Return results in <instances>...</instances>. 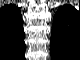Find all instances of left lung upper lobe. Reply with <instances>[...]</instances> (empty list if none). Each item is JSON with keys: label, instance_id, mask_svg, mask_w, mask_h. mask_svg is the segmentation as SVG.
<instances>
[{"label": "left lung upper lobe", "instance_id": "5c2ea615", "mask_svg": "<svg viewBox=\"0 0 80 60\" xmlns=\"http://www.w3.org/2000/svg\"><path fill=\"white\" fill-rule=\"evenodd\" d=\"M76 9L70 5L60 7L53 19L52 34H51V50L56 52L57 47L55 40L61 47V52L71 48L73 40H79V33H76V38L73 37V22ZM69 46V47H68Z\"/></svg>", "mask_w": 80, "mask_h": 60}]
</instances>
